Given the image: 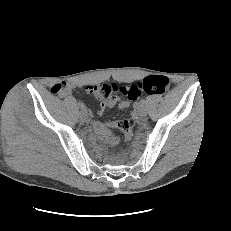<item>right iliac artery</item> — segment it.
<instances>
[{
  "label": "right iliac artery",
  "mask_w": 231,
  "mask_h": 231,
  "mask_svg": "<svg viewBox=\"0 0 231 231\" xmlns=\"http://www.w3.org/2000/svg\"><path fill=\"white\" fill-rule=\"evenodd\" d=\"M78 106H79V108H81V109H84V103L83 102H78Z\"/></svg>",
  "instance_id": "obj_1"
}]
</instances>
